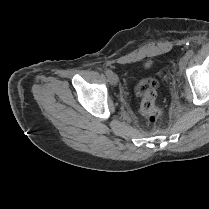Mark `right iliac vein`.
Returning a JSON list of instances; mask_svg holds the SVG:
<instances>
[{"label": "right iliac vein", "instance_id": "right-iliac-vein-1", "mask_svg": "<svg viewBox=\"0 0 209 209\" xmlns=\"http://www.w3.org/2000/svg\"><path fill=\"white\" fill-rule=\"evenodd\" d=\"M108 79L111 85H116L118 83V76L113 72L108 76Z\"/></svg>", "mask_w": 209, "mask_h": 209}]
</instances>
